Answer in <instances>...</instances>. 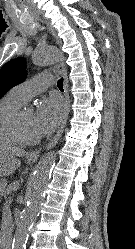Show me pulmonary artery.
Instances as JSON below:
<instances>
[{
	"label": "pulmonary artery",
	"mask_w": 135,
	"mask_h": 249,
	"mask_svg": "<svg viewBox=\"0 0 135 249\" xmlns=\"http://www.w3.org/2000/svg\"><path fill=\"white\" fill-rule=\"evenodd\" d=\"M54 85V78L47 73H40L24 81L12 89V93L21 101L26 102Z\"/></svg>",
	"instance_id": "pulmonary-artery-1"
}]
</instances>
